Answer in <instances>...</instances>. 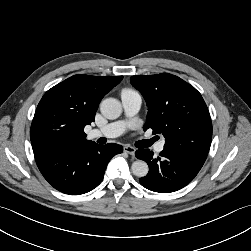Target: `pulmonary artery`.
Returning a JSON list of instances; mask_svg holds the SVG:
<instances>
[{
	"instance_id": "e3ab8cb5",
	"label": "pulmonary artery",
	"mask_w": 251,
	"mask_h": 251,
	"mask_svg": "<svg viewBox=\"0 0 251 251\" xmlns=\"http://www.w3.org/2000/svg\"><path fill=\"white\" fill-rule=\"evenodd\" d=\"M122 105L125 113V119L109 123L100 129H93L88 133L89 138H113L122 134L127 126L130 124L132 118L138 113L141 107L142 98L139 93L122 92ZM165 139L159 141L155 146V151L160 153L164 150Z\"/></svg>"
}]
</instances>
